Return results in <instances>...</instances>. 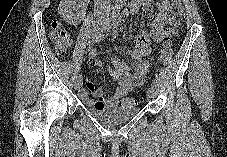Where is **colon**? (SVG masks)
Listing matches in <instances>:
<instances>
[{"label": "colon", "mask_w": 227, "mask_h": 157, "mask_svg": "<svg viewBox=\"0 0 227 157\" xmlns=\"http://www.w3.org/2000/svg\"><path fill=\"white\" fill-rule=\"evenodd\" d=\"M182 22V12L180 0H173L170 10L169 26L166 30V40L159 52V61L162 65L167 66L172 59L173 49L170 44V39L173 38L178 31ZM50 38L54 44L56 53L59 56H64L68 52L71 46V40L67 29L59 21H53L51 24ZM137 103L134 98H125L121 101V106L132 107Z\"/></svg>", "instance_id": "obj_1"}]
</instances>
